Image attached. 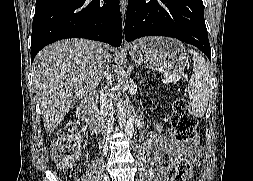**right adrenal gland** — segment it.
Returning a JSON list of instances; mask_svg holds the SVG:
<instances>
[{
  "instance_id": "1",
  "label": "right adrenal gland",
  "mask_w": 253,
  "mask_h": 181,
  "mask_svg": "<svg viewBox=\"0 0 253 181\" xmlns=\"http://www.w3.org/2000/svg\"><path fill=\"white\" fill-rule=\"evenodd\" d=\"M111 75H110V71H109V67H107L105 73L103 74L102 76V79L104 78H109Z\"/></svg>"
}]
</instances>
